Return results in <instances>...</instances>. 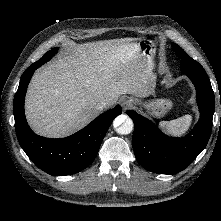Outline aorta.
Wrapping results in <instances>:
<instances>
[{"instance_id":"obj_1","label":"aorta","mask_w":221,"mask_h":221,"mask_svg":"<svg viewBox=\"0 0 221 221\" xmlns=\"http://www.w3.org/2000/svg\"><path fill=\"white\" fill-rule=\"evenodd\" d=\"M117 133L121 135L130 134L133 131L134 124L130 117L125 114L119 115L113 123Z\"/></svg>"}]
</instances>
